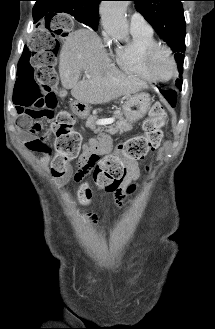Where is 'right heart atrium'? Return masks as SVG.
Masks as SVG:
<instances>
[{
  "label": "right heart atrium",
  "mask_w": 215,
  "mask_h": 329,
  "mask_svg": "<svg viewBox=\"0 0 215 329\" xmlns=\"http://www.w3.org/2000/svg\"><path fill=\"white\" fill-rule=\"evenodd\" d=\"M104 41L105 42H108L109 41V38H108V35L104 33Z\"/></svg>",
  "instance_id": "right-heart-atrium-1"
}]
</instances>
